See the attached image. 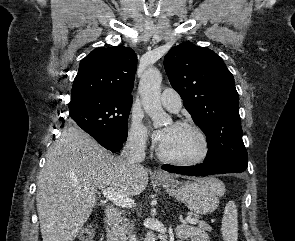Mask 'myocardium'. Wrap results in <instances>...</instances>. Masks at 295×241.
<instances>
[{
	"label": "myocardium",
	"mask_w": 295,
	"mask_h": 241,
	"mask_svg": "<svg viewBox=\"0 0 295 241\" xmlns=\"http://www.w3.org/2000/svg\"><path fill=\"white\" fill-rule=\"evenodd\" d=\"M174 126L193 130L201 142V152L195 158L182 160L167 156L164 154L160 146L157 151L158 157L166 163L183 167L196 166L205 162L211 153V143L206 132L199 125L190 121H178Z\"/></svg>",
	"instance_id": "obj_1"
}]
</instances>
